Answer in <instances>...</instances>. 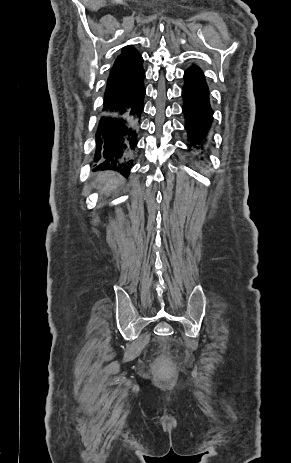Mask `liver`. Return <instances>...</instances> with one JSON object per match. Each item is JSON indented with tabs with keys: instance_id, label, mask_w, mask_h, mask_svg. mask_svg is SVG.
<instances>
[{
	"instance_id": "liver-1",
	"label": "liver",
	"mask_w": 291,
	"mask_h": 463,
	"mask_svg": "<svg viewBox=\"0 0 291 463\" xmlns=\"http://www.w3.org/2000/svg\"><path fill=\"white\" fill-rule=\"evenodd\" d=\"M97 182L102 192L109 195L112 190L116 189L124 182V179L119 174L105 171L97 175Z\"/></svg>"
}]
</instances>
